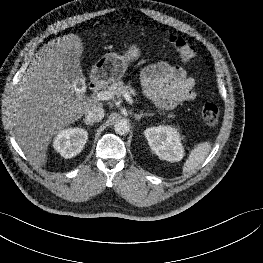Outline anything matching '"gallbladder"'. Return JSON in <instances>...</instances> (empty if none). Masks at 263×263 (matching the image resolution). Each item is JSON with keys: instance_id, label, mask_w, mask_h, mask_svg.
Listing matches in <instances>:
<instances>
[{"instance_id": "gallbladder-1", "label": "gallbladder", "mask_w": 263, "mask_h": 263, "mask_svg": "<svg viewBox=\"0 0 263 263\" xmlns=\"http://www.w3.org/2000/svg\"><path fill=\"white\" fill-rule=\"evenodd\" d=\"M64 66L68 67V78L71 83H76L80 78H82V70L77 62V57L70 51L64 57Z\"/></svg>"}]
</instances>
